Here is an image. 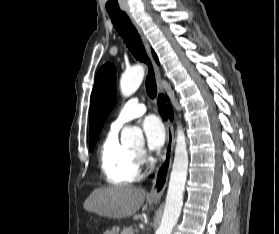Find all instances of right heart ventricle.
<instances>
[{
    "label": "right heart ventricle",
    "instance_id": "obj_1",
    "mask_svg": "<svg viewBox=\"0 0 279 234\" xmlns=\"http://www.w3.org/2000/svg\"><path fill=\"white\" fill-rule=\"evenodd\" d=\"M100 166L106 181L114 186L135 182L139 177L136 152L123 146L118 131L110 130L100 148Z\"/></svg>",
    "mask_w": 279,
    "mask_h": 234
}]
</instances>
